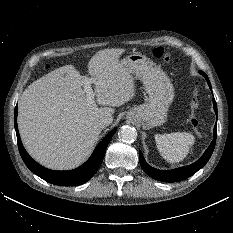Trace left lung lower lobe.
Returning <instances> with one entry per match:
<instances>
[{
	"instance_id": "obj_1",
	"label": "left lung lower lobe",
	"mask_w": 233,
	"mask_h": 233,
	"mask_svg": "<svg viewBox=\"0 0 233 233\" xmlns=\"http://www.w3.org/2000/svg\"><path fill=\"white\" fill-rule=\"evenodd\" d=\"M200 73L206 78L208 85H209L210 89L212 90L211 84H210V81H209L207 75L205 73H203L202 71ZM213 105H214V111L217 115V105H216L215 99H213ZM216 135H217V128L215 125L213 141L211 142L210 146L205 151L203 156L191 165L184 166V167L177 168V169H173L171 171L157 170V169L149 166L146 163L145 159L142 156V153L139 151L140 165L143 168V170L146 172V174H148L150 177H152L158 181L177 182V181L187 179L188 177H190L194 173H196L199 169H201L208 162L209 158L212 155L214 147H215Z\"/></svg>"
}]
</instances>
